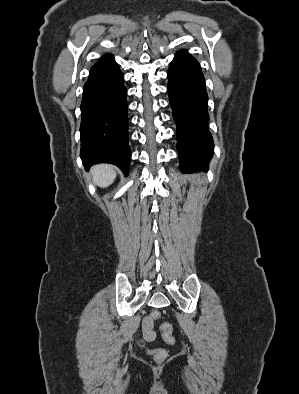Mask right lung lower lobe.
I'll return each instance as SVG.
<instances>
[{
    "label": "right lung lower lobe",
    "instance_id": "right-lung-lower-lobe-1",
    "mask_svg": "<svg viewBox=\"0 0 299 394\" xmlns=\"http://www.w3.org/2000/svg\"><path fill=\"white\" fill-rule=\"evenodd\" d=\"M114 57L103 56L90 70L81 102V151L86 169L107 162L128 175L127 90Z\"/></svg>",
    "mask_w": 299,
    "mask_h": 394
}]
</instances>
